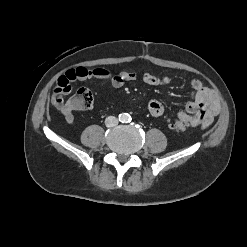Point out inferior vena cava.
I'll return each mask as SVG.
<instances>
[{
	"instance_id": "obj_1",
	"label": "inferior vena cava",
	"mask_w": 247,
	"mask_h": 247,
	"mask_svg": "<svg viewBox=\"0 0 247 247\" xmlns=\"http://www.w3.org/2000/svg\"><path fill=\"white\" fill-rule=\"evenodd\" d=\"M118 124V119L115 116H108L105 119V125L107 127H113L116 126Z\"/></svg>"
}]
</instances>
